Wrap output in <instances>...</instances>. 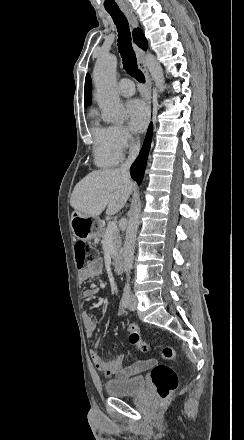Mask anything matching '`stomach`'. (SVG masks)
Masks as SVG:
<instances>
[{
  "mask_svg": "<svg viewBox=\"0 0 244 440\" xmlns=\"http://www.w3.org/2000/svg\"><path fill=\"white\" fill-rule=\"evenodd\" d=\"M70 228L73 232V236L77 240H92V238H97L98 234L102 232V226L98 218H92V216H87V214H81V212H72L70 220Z\"/></svg>",
  "mask_w": 244,
  "mask_h": 440,
  "instance_id": "1",
  "label": "stomach"
}]
</instances>
